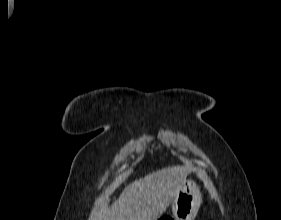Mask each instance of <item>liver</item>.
Returning <instances> with one entry per match:
<instances>
[{
	"instance_id": "1",
	"label": "liver",
	"mask_w": 281,
	"mask_h": 220,
	"mask_svg": "<svg viewBox=\"0 0 281 220\" xmlns=\"http://www.w3.org/2000/svg\"><path fill=\"white\" fill-rule=\"evenodd\" d=\"M190 170L185 166L166 167L129 184L108 208L96 211L92 220H156L173 201Z\"/></svg>"
}]
</instances>
